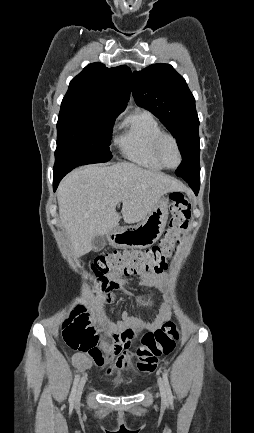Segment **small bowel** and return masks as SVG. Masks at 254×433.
Masks as SVG:
<instances>
[{"label":"small bowel","instance_id":"small-bowel-1","mask_svg":"<svg viewBox=\"0 0 254 433\" xmlns=\"http://www.w3.org/2000/svg\"><path fill=\"white\" fill-rule=\"evenodd\" d=\"M145 282L156 283L155 274H142ZM127 281L117 276L105 287H102L104 297L112 289L123 290L127 295L131 293L125 290ZM171 315L168 304H163L153 321L145 322L139 316L130 315L122 311L114 320L104 323L105 332L113 339L112 343H102L93 355L76 353L73 357L75 366L80 371L88 370L93 364L108 366L107 373L112 375L127 370L131 357L133 339L142 331H152L160 327ZM102 351L106 353L103 355ZM115 358L113 365L111 361Z\"/></svg>","mask_w":254,"mask_h":433}]
</instances>
